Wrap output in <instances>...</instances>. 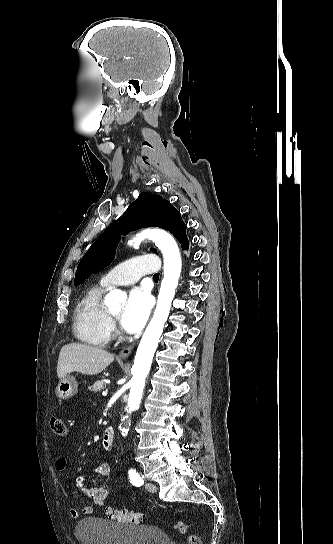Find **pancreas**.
I'll list each match as a JSON object with an SVG mask.
<instances>
[{
  "label": "pancreas",
  "mask_w": 333,
  "mask_h": 544,
  "mask_svg": "<svg viewBox=\"0 0 333 544\" xmlns=\"http://www.w3.org/2000/svg\"><path fill=\"white\" fill-rule=\"evenodd\" d=\"M106 388V384L104 380H98L93 385L89 386V390L93 392H100L101 390Z\"/></svg>",
  "instance_id": "cf45deb5"
}]
</instances>
